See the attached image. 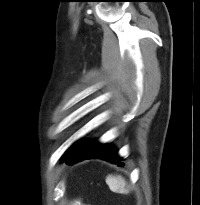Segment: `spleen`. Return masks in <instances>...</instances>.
<instances>
[{
  "label": "spleen",
  "instance_id": "1",
  "mask_svg": "<svg viewBox=\"0 0 200 205\" xmlns=\"http://www.w3.org/2000/svg\"><path fill=\"white\" fill-rule=\"evenodd\" d=\"M106 183L110 190L115 193H128L127 183L122 176L108 175L106 177Z\"/></svg>",
  "mask_w": 200,
  "mask_h": 205
}]
</instances>
